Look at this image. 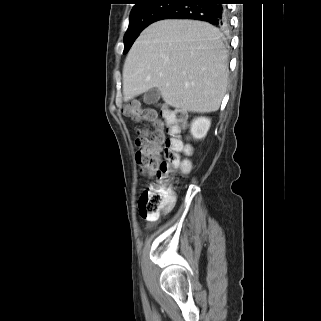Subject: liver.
<instances>
[{"instance_id": "obj_1", "label": "liver", "mask_w": 321, "mask_h": 321, "mask_svg": "<svg viewBox=\"0 0 321 321\" xmlns=\"http://www.w3.org/2000/svg\"><path fill=\"white\" fill-rule=\"evenodd\" d=\"M227 81L221 33L193 20L151 24L133 44L123 68L126 102L157 88L166 104L196 113L219 109Z\"/></svg>"}]
</instances>
